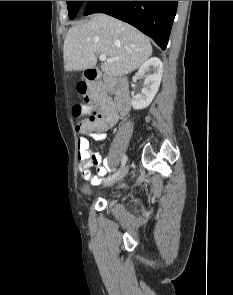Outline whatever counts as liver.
Listing matches in <instances>:
<instances>
[{"instance_id":"1","label":"liver","mask_w":233,"mask_h":295,"mask_svg":"<svg viewBox=\"0 0 233 295\" xmlns=\"http://www.w3.org/2000/svg\"><path fill=\"white\" fill-rule=\"evenodd\" d=\"M118 60L105 61L101 70L120 77L138 69L152 55L149 39L139 30L103 13L94 14L88 22L71 27L63 47L66 71H81L97 64V55Z\"/></svg>"}]
</instances>
